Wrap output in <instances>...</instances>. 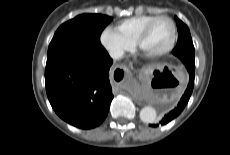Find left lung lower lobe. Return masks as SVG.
I'll return each mask as SVG.
<instances>
[{
    "instance_id": "obj_1",
    "label": "left lung lower lobe",
    "mask_w": 230,
    "mask_h": 155,
    "mask_svg": "<svg viewBox=\"0 0 230 155\" xmlns=\"http://www.w3.org/2000/svg\"><path fill=\"white\" fill-rule=\"evenodd\" d=\"M179 58L184 63L185 67L187 68V71L189 73V83H188V86H187L184 94L182 95L180 101L178 102L177 106L173 110H171L168 114H166L162 118V120L159 122V124H161V125L167 124L168 122L173 120L175 117H177L182 112V110L184 109V107L188 103L189 98H190L192 91H193L195 61L193 58H189L186 55H180ZM159 124H152L151 126L157 127V126H159Z\"/></svg>"
}]
</instances>
